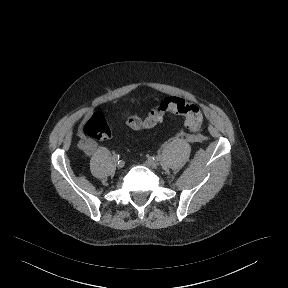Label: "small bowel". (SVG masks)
Wrapping results in <instances>:
<instances>
[{
	"instance_id": "small-bowel-1",
	"label": "small bowel",
	"mask_w": 288,
	"mask_h": 288,
	"mask_svg": "<svg viewBox=\"0 0 288 288\" xmlns=\"http://www.w3.org/2000/svg\"><path fill=\"white\" fill-rule=\"evenodd\" d=\"M94 149H95V145L92 143H89L86 145V147L83 150L85 151V153L87 155H91L93 153Z\"/></svg>"
}]
</instances>
